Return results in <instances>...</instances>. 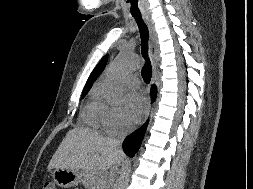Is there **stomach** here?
<instances>
[{"mask_svg": "<svg viewBox=\"0 0 253 189\" xmlns=\"http://www.w3.org/2000/svg\"><path fill=\"white\" fill-rule=\"evenodd\" d=\"M83 173L79 170L56 168L53 172L54 182L62 188H70L81 182Z\"/></svg>", "mask_w": 253, "mask_h": 189, "instance_id": "0dacf381", "label": "stomach"}]
</instances>
